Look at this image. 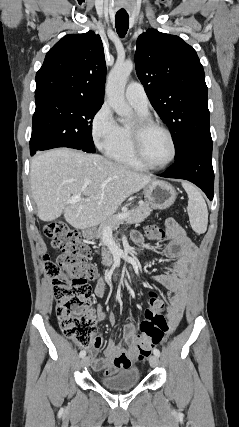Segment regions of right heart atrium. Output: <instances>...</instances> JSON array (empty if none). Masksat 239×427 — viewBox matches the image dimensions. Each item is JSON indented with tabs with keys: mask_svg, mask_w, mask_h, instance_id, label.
<instances>
[{
	"mask_svg": "<svg viewBox=\"0 0 239 427\" xmlns=\"http://www.w3.org/2000/svg\"><path fill=\"white\" fill-rule=\"evenodd\" d=\"M91 134L97 148L104 153H107L118 142L120 126L107 104H103L94 115Z\"/></svg>",
	"mask_w": 239,
	"mask_h": 427,
	"instance_id": "obj_1",
	"label": "right heart atrium"
}]
</instances>
